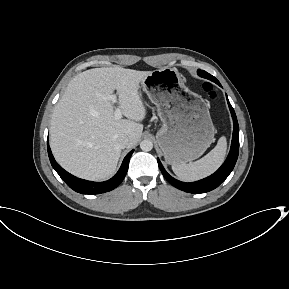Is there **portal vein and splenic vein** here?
I'll use <instances>...</instances> for the list:
<instances>
[{"instance_id":"18ae733b","label":"portal vein and splenic vein","mask_w":289,"mask_h":289,"mask_svg":"<svg viewBox=\"0 0 289 289\" xmlns=\"http://www.w3.org/2000/svg\"><path fill=\"white\" fill-rule=\"evenodd\" d=\"M110 99H111V101L112 102H117V96L116 95H111L110 96ZM114 115H115V118L116 119H121V117H122V112H121V110H120V108L118 107V108H116V110H115V112H114Z\"/></svg>"}]
</instances>
